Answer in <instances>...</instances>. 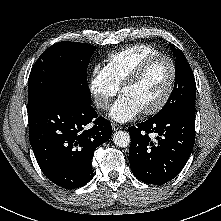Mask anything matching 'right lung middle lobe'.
<instances>
[{"instance_id": "1", "label": "right lung middle lobe", "mask_w": 221, "mask_h": 221, "mask_svg": "<svg viewBox=\"0 0 221 221\" xmlns=\"http://www.w3.org/2000/svg\"><path fill=\"white\" fill-rule=\"evenodd\" d=\"M96 47L79 42H59L46 49L28 79V110L44 99L61 95L75 103H90L87 67Z\"/></svg>"}]
</instances>
